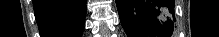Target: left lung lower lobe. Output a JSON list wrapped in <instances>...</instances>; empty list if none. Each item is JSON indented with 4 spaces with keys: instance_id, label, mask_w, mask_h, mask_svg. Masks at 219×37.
<instances>
[{
    "instance_id": "left-lung-lower-lobe-1",
    "label": "left lung lower lobe",
    "mask_w": 219,
    "mask_h": 37,
    "mask_svg": "<svg viewBox=\"0 0 219 37\" xmlns=\"http://www.w3.org/2000/svg\"><path fill=\"white\" fill-rule=\"evenodd\" d=\"M128 37H171L174 32V0H116Z\"/></svg>"
}]
</instances>
